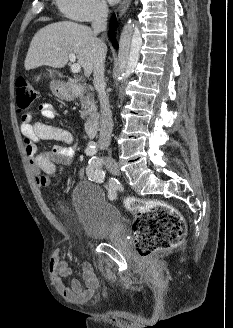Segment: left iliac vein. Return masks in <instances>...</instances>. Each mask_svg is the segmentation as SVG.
<instances>
[{
	"label": "left iliac vein",
	"mask_w": 233,
	"mask_h": 328,
	"mask_svg": "<svg viewBox=\"0 0 233 328\" xmlns=\"http://www.w3.org/2000/svg\"><path fill=\"white\" fill-rule=\"evenodd\" d=\"M105 164H106V167H107L108 171L111 174L120 175V170H119L118 164H117L116 160L113 157L107 156L105 158Z\"/></svg>",
	"instance_id": "1"
}]
</instances>
